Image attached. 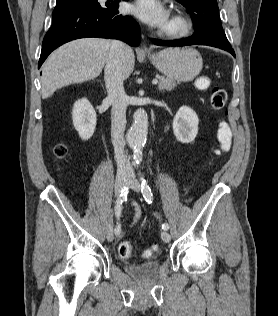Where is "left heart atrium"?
I'll use <instances>...</instances> for the list:
<instances>
[{
	"label": "left heart atrium",
	"mask_w": 278,
	"mask_h": 316,
	"mask_svg": "<svg viewBox=\"0 0 278 316\" xmlns=\"http://www.w3.org/2000/svg\"><path fill=\"white\" fill-rule=\"evenodd\" d=\"M130 11L152 26H163L168 20V12L160 0H136Z\"/></svg>",
	"instance_id": "left-heart-atrium-1"
}]
</instances>
